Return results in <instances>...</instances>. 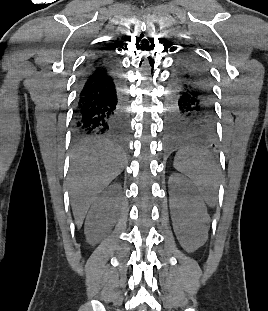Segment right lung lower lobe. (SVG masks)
Instances as JSON below:
<instances>
[{"mask_svg": "<svg viewBox=\"0 0 268 311\" xmlns=\"http://www.w3.org/2000/svg\"><path fill=\"white\" fill-rule=\"evenodd\" d=\"M126 105L117 61L112 56L93 58L79 79L73 137L105 136L124 142L129 129Z\"/></svg>", "mask_w": 268, "mask_h": 311, "instance_id": "1", "label": "right lung lower lobe"}]
</instances>
